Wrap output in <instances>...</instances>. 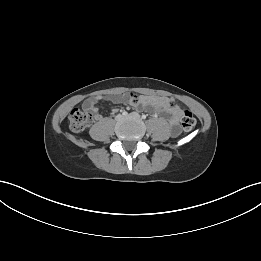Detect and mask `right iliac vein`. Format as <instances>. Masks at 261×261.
<instances>
[{
  "instance_id": "obj_1",
  "label": "right iliac vein",
  "mask_w": 261,
  "mask_h": 261,
  "mask_svg": "<svg viewBox=\"0 0 261 261\" xmlns=\"http://www.w3.org/2000/svg\"><path fill=\"white\" fill-rule=\"evenodd\" d=\"M116 121H120L123 119V116L121 114H118L116 117H115Z\"/></svg>"
}]
</instances>
